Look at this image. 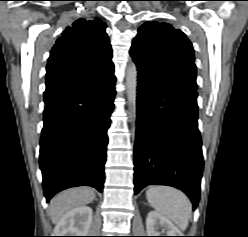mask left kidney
Instances as JSON below:
<instances>
[{
    "instance_id": "5707ae66",
    "label": "left kidney",
    "mask_w": 248,
    "mask_h": 237,
    "mask_svg": "<svg viewBox=\"0 0 248 237\" xmlns=\"http://www.w3.org/2000/svg\"><path fill=\"white\" fill-rule=\"evenodd\" d=\"M147 236H182L180 230L156 211L149 212L146 219Z\"/></svg>"
}]
</instances>
